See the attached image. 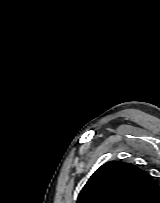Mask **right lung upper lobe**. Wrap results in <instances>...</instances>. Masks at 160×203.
I'll return each mask as SVG.
<instances>
[{"label":"right lung upper lobe","mask_w":160,"mask_h":203,"mask_svg":"<svg viewBox=\"0 0 160 203\" xmlns=\"http://www.w3.org/2000/svg\"><path fill=\"white\" fill-rule=\"evenodd\" d=\"M158 184L131 163L110 161L97 169L81 190L77 203H154Z\"/></svg>","instance_id":"1"}]
</instances>
